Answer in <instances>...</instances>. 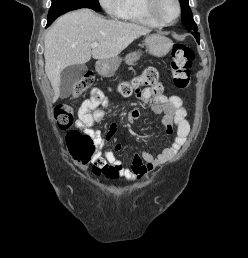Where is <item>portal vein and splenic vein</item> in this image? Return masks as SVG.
I'll use <instances>...</instances> for the list:
<instances>
[{"instance_id": "18ae733b", "label": "portal vein and splenic vein", "mask_w": 248, "mask_h": 258, "mask_svg": "<svg viewBox=\"0 0 248 258\" xmlns=\"http://www.w3.org/2000/svg\"><path fill=\"white\" fill-rule=\"evenodd\" d=\"M90 46H91V48H96V47L99 46V44L98 43H92Z\"/></svg>"}]
</instances>
